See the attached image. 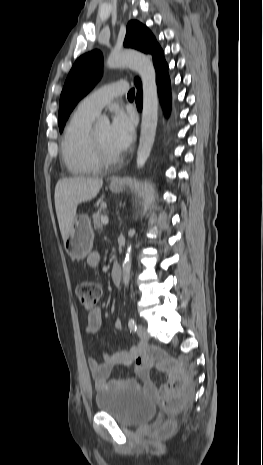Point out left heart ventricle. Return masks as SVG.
<instances>
[{
  "instance_id": "obj_1",
  "label": "left heart ventricle",
  "mask_w": 263,
  "mask_h": 465,
  "mask_svg": "<svg viewBox=\"0 0 263 465\" xmlns=\"http://www.w3.org/2000/svg\"><path fill=\"white\" fill-rule=\"evenodd\" d=\"M96 137L104 151L109 155H116L119 152L111 144L109 137V126H101L95 129Z\"/></svg>"
}]
</instances>
